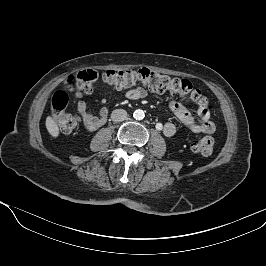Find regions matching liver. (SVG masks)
<instances>
[{
  "label": "liver",
  "instance_id": "1",
  "mask_svg": "<svg viewBox=\"0 0 266 266\" xmlns=\"http://www.w3.org/2000/svg\"><path fill=\"white\" fill-rule=\"evenodd\" d=\"M46 128L52 137H55V138L58 137L59 135L58 125L51 116H48L46 118Z\"/></svg>",
  "mask_w": 266,
  "mask_h": 266
}]
</instances>
